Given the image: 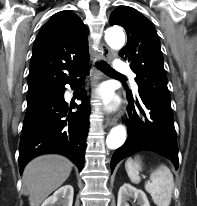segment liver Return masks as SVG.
<instances>
[{"label": "liver", "instance_id": "6515ba94", "mask_svg": "<svg viewBox=\"0 0 197 206\" xmlns=\"http://www.w3.org/2000/svg\"><path fill=\"white\" fill-rule=\"evenodd\" d=\"M71 170V161L60 155H42L30 161L22 176L30 206H40L67 180Z\"/></svg>", "mask_w": 197, "mask_h": 206}]
</instances>
